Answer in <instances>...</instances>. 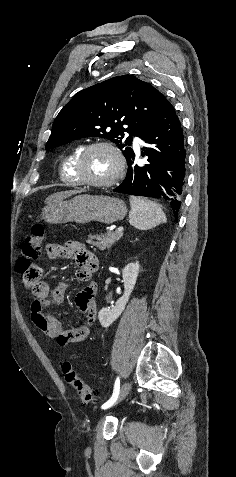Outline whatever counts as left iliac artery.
Masks as SVG:
<instances>
[{
  "label": "left iliac artery",
  "instance_id": "44dca946",
  "mask_svg": "<svg viewBox=\"0 0 236 477\" xmlns=\"http://www.w3.org/2000/svg\"><path fill=\"white\" fill-rule=\"evenodd\" d=\"M119 391H120V379L119 377H117L111 398L106 403H104L101 408L104 409L108 407L111 402H115L118 397Z\"/></svg>",
  "mask_w": 236,
  "mask_h": 477
}]
</instances>
